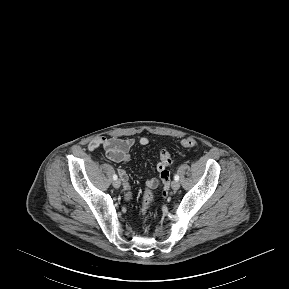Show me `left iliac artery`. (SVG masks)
Instances as JSON below:
<instances>
[{
  "mask_svg": "<svg viewBox=\"0 0 289 289\" xmlns=\"http://www.w3.org/2000/svg\"><path fill=\"white\" fill-rule=\"evenodd\" d=\"M174 180L178 181L179 180V175L175 174Z\"/></svg>",
  "mask_w": 289,
  "mask_h": 289,
  "instance_id": "1",
  "label": "left iliac artery"
}]
</instances>
